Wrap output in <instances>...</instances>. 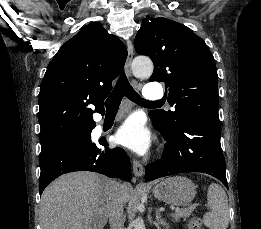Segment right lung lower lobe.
<instances>
[{
  "instance_id": "right-lung-lower-lobe-1",
  "label": "right lung lower lobe",
  "mask_w": 261,
  "mask_h": 229,
  "mask_svg": "<svg viewBox=\"0 0 261 229\" xmlns=\"http://www.w3.org/2000/svg\"><path fill=\"white\" fill-rule=\"evenodd\" d=\"M94 127L95 125L89 134ZM40 168V195L54 179L74 171H92L131 181L129 157L121 148H108L105 139L99 140V144L92 143L88 137L61 142L41 153Z\"/></svg>"
}]
</instances>
